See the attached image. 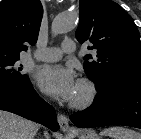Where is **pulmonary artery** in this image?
I'll return each instance as SVG.
<instances>
[{
  "label": "pulmonary artery",
  "mask_w": 141,
  "mask_h": 139,
  "mask_svg": "<svg viewBox=\"0 0 141 139\" xmlns=\"http://www.w3.org/2000/svg\"><path fill=\"white\" fill-rule=\"evenodd\" d=\"M76 50L73 40L67 39L62 42L61 47L42 48L34 51L33 57L40 61H57L64 53H72Z\"/></svg>",
  "instance_id": "obj_1"
}]
</instances>
